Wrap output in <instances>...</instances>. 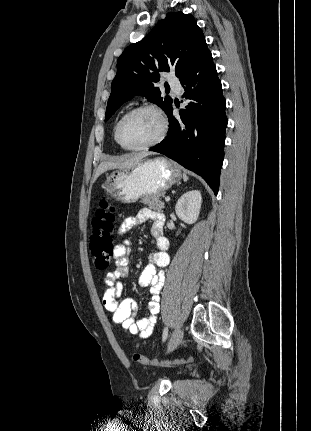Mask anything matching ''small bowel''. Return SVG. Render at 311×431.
<instances>
[{
    "label": "small bowel",
    "instance_id": "small-bowel-1",
    "mask_svg": "<svg viewBox=\"0 0 311 431\" xmlns=\"http://www.w3.org/2000/svg\"><path fill=\"white\" fill-rule=\"evenodd\" d=\"M152 221L151 234L155 238L157 251L148 257V264L139 278V285L150 287V301L146 317L136 320L137 304L130 298L121 299L123 283L128 278L129 241L121 239L114 248L116 269L105 276L106 290L103 296L104 307L112 313V320L120 324L129 334H138L141 338L148 337L157 323L160 311V292L164 284V274L159 271L169 264V241L163 234L164 216L158 211L141 209L136 215L127 217L119 227L118 233L124 235L136 225Z\"/></svg>",
    "mask_w": 311,
    "mask_h": 431
}]
</instances>
